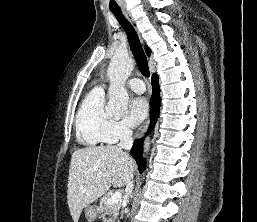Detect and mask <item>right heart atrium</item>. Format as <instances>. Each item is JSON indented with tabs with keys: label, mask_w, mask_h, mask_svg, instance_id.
<instances>
[{
	"label": "right heart atrium",
	"mask_w": 257,
	"mask_h": 222,
	"mask_svg": "<svg viewBox=\"0 0 257 222\" xmlns=\"http://www.w3.org/2000/svg\"><path fill=\"white\" fill-rule=\"evenodd\" d=\"M131 134V129L126 121H111L106 130V139L108 143H116L129 138Z\"/></svg>",
	"instance_id": "1"
}]
</instances>
